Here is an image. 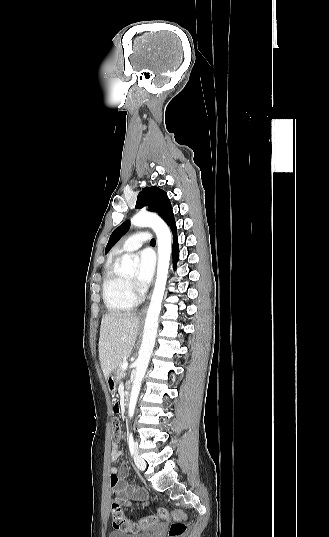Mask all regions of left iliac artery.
<instances>
[{
  "mask_svg": "<svg viewBox=\"0 0 329 537\" xmlns=\"http://www.w3.org/2000/svg\"><path fill=\"white\" fill-rule=\"evenodd\" d=\"M128 444H129L130 452L131 454H133L135 451V443H134L133 434L131 432L129 433V436H128Z\"/></svg>",
  "mask_w": 329,
  "mask_h": 537,
  "instance_id": "obj_1",
  "label": "left iliac artery"
}]
</instances>
